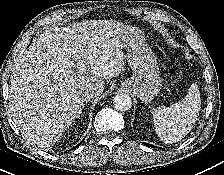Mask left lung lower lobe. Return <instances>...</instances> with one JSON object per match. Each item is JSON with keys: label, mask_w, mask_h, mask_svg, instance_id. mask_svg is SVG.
Returning a JSON list of instances; mask_svg holds the SVG:
<instances>
[{"label": "left lung lower lobe", "mask_w": 224, "mask_h": 175, "mask_svg": "<svg viewBox=\"0 0 224 175\" xmlns=\"http://www.w3.org/2000/svg\"><path fill=\"white\" fill-rule=\"evenodd\" d=\"M146 146H150V147H155V146H152L151 144H148V143H144ZM157 148V147H156Z\"/></svg>", "instance_id": "1"}]
</instances>
